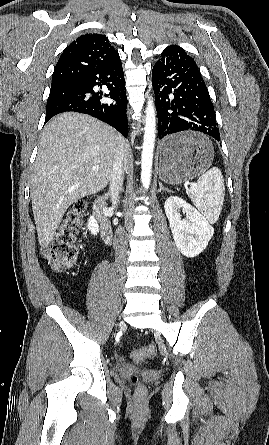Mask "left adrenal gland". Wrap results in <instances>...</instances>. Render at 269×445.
Wrapping results in <instances>:
<instances>
[{"label": "left adrenal gland", "instance_id": "1", "mask_svg": "<svg viewBox=\"0 0 269 445\" xmlns=\"http://www.w3.org/2000/svg\"><path fill=\"white\" fill-rule=\"evenodd\" d=\"M162 191L172 192L171 190H169V189H167V188H164L163 185H162V183L159 182V190H158V192H162Z\"/></svg>", "mask_w": 269, "mask_h": 445}]
</instances>
